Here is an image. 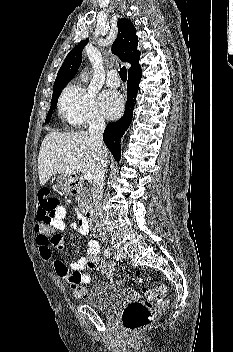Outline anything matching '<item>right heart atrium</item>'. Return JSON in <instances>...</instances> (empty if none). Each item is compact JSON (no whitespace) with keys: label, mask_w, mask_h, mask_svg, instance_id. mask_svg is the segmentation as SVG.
<instances>
[{"label":"right heart atrium","mask_w":233,"mask_h":352,"mask_svg":"<svg viewBox=\"0 0 233 352\" xmlns=\"http://www.w3.org/2000/svg\"><path fill=\"white\" fill-rule=\"evenodd\" d=\"M58 109L62 118L73 127L104 123L95 95L77 83H71L63 90Z\"/></svg>","instance_id":"right-heart-atrium-1"}]
</instances>
